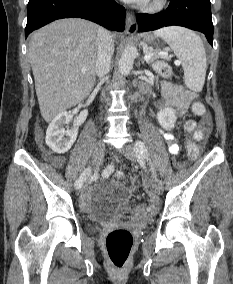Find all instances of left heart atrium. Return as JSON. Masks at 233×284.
Returning <instances> with one entry per match:
<instances>
[{"label":"left heart atrium","instance_id":"1","mask_svg":"<svg viewBox=\"0 0 233 284\" xmlns=\"http://www.w3.org/2000/svg\"><path fill=\"white\" fill-rule=\"evenodd\" d=\"M124 1L137 3V4H143V3H145L148 0H124Z\"/></svg>","mask_w":233,"mask_h":284}]
</instances>
